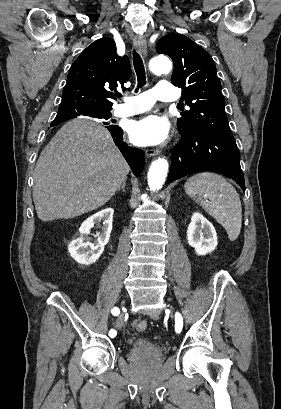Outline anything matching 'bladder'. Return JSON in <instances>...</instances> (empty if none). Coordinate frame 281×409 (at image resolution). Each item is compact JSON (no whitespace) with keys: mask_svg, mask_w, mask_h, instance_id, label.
Listing matches in <instances>:
<instances>
[{"mask_svg":"<svg viewBox=\"0 0 281 409\" xmlns=\"http://www.w3.org/2000/svg\"><path fill=\"white\" fill-rule=\"evenodd\" d=\"M128 349L132 355H161L158 342L149 338H135Z\"/></svg>","mask_w":281,"mask_h":409,"instance_id":"obj_1","label":"bladder"}]
</instances>
